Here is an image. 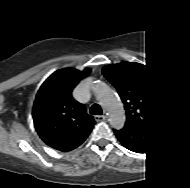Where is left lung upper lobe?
<instances>
[{
  "instance_id": "obj_1",
  "label": "left lung upper lobe",
  "mask_w": 190,
  "mask_h": 188,
  "mask_svg": "<svg viewBox=\"0 0 190 188\" xmlns=\"http://www.w3.org/2000/svg\"><path fill=\"white\" fill-rule=\"evenodd\" d=\"M103 75L117 89L126 110V124L166 131L172 123L171 96L159 77L134 62L106 66Z\"/></svg>"
}]
</instances>
